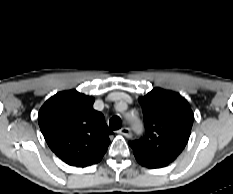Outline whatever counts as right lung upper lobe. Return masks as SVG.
<instances>
[{
    "mask_svg": "<svg viewBox=\"0 0 233 194\" xmlns=\"http://www.w3.org/2000/svg\"><path fill=\"white\" fill-rule=\"evenodd\" d=\"M94 98L76 90L59 92L41 107L38 123L51 150L65 163L86 167L104 156L112 133Z\"/></svg>",
    "mask_w": 233,
    "mask_h": 194,
    "instance_id": "cb5924a9",
    "label": "right lung upper lobe"
}]
</instances>
